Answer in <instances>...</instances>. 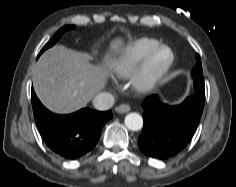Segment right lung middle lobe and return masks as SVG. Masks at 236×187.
I'll list each match as a JSON object with an SVG mask.
<instances>
[{"label": "right lung middle lobe", "instance_id": "1", "mask_svg": "<svg viewBox=\"0 0 236 187\" xmlns=\"http://www.w3.org/2000/svg\"><path fill=\"white\" fill-rule=\"evenodd\" d=\"M75 28V26L73 25H67V26H64L62 27L56 34L55 36L43 47V49L41 50V52L39 53V55L44 51L46 50L47 48L53 46L57 40L62 36V34L67 31V30H70V29H73Z\"/></svg>", "mask_w": 236, "mask_h": 187}]
</instances>
